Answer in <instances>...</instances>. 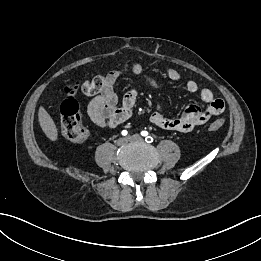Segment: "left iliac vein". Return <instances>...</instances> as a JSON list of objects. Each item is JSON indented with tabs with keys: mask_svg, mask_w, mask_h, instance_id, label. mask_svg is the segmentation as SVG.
Instances as JSON below:
<instances>
[{
	"mask_svg": "<svg viewBox=\"0 0 261 261\" xmlns=\"http://www.w3.org/2000/svg\"><path fill=\"white\" fill-rule=\"evenodd\" d=\"M128 141L131 142H142L144 139L142 136H140L139 134H134L132 136H128L127 137Z\"/></svg>",
	"mask_w": 261,
	"mask_h": 261,
	"instance_id": "1",
	"label": "left iliac vein"
}]
</instances>
